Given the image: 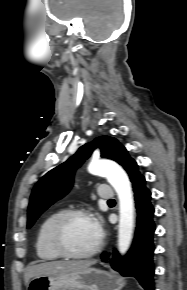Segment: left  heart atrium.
Returning a JSON list of instances; mask_svg holds the SVG:
<instances>
[{
  "label": "left heart atrium",
  "instance_id": "left-heart-atrium-1",
  "mask_svg": "<svg viewBox=\"0 0 187 290\" xmlns=\"http://www.w3.org/2000/svg\"><path fill=\"white\" fill-rule=\"evenodd\" d=\"M94 225H95V227H96V229L98 230V232H99V226H98V224L94 221Z\"/></svg>",
  "mask_w": 187,
  "mask_h": 290
}]
</instances>
